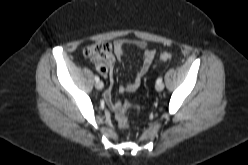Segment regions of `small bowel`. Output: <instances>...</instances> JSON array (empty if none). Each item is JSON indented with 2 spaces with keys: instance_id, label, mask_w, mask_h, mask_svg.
I'll use <instances>...</instances> for the list:
<instances>
[{
  "instance_id": "c3829d8e",
  "label": "small bowel",
  "mask_w": 248,
  "mask_h": 165,
  "mask_svg": "<svg viewBox=\"0 0 248 165\" xmlns=\"http://www.w3.org/2000/svg\"><path fill=\"white\" fill-rule=\"evenodd\" d=\"M127 46H133L143 50V59L137 71L135 79L129 83H123L119 85L118 90L120 93L135 91L140 86L142 79L148 72L155 56V50L151 48L145 41L133 39H120L113 43V50L118 59H122L124 55V50ZM103 75L106 76L109 80V88L105 92V99L110 102L112 99L111 88L114 83V74L112 67H110L109 70L104 71Z\"/></svg>"
}]
</instances>
